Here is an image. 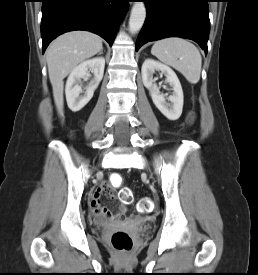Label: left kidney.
Wrapping results in <instances>:
<instances>
[{
  "mask_svg": "<svg viewBox=\"0 0 258 275\" xmlns=\"http://www.w3.org/2000/svg\"><path fill=\"white\" fill-rule=\"evenodd\" d=\"M155 71H160L166 76V82L172 87L173 93L169 96L166 102L165 97L160 93L159 88L153 80ZM142 80L144 86L150 91L153 103L159 111L169 120H177L183 109V91L181 83L176 73L167 65L155 61L153 59H146L141 68Z\"/></svg>",
  "mask_w": 258,
  "mask_h": 275,
  "instance_id": "obj_1",
  "label": "left kidney"
}]
</instances>
